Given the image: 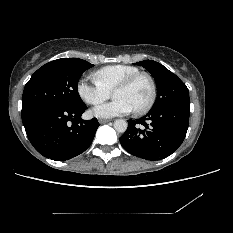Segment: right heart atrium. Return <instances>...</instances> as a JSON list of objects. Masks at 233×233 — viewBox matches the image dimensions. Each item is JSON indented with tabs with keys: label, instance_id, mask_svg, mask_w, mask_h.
I'll return each mask as SVG.
<instances>
[{
	"label": "right heart atrium",
	"instance_id": "1",
	"mask_svg": "<svg viewBox=\"0 0 233 233\" xmlns=\"http://www.w3.org/2000/svg\"><path fill=\"white\" fill-rule=\"evenodd\" d=\"M77 93L83 101L90 105H98L109 99L111 92L98 82L92 84L81 80L77 85Z\"/></svg>",
	"mask_w": 233,
	"mask_h": 233
}]
</instances>
